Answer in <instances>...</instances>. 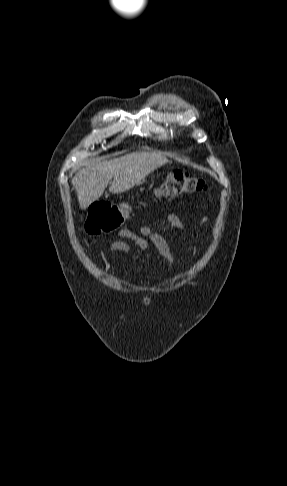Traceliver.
Instances as JSON below:
<instances>
[{
    "instance_id": "obj_1",
    "label": "liver",
    "mask_w": 287,
    "mask_h": 486,
    "mask_svg": "<svg viewBox=\"0 0 287 486\" xmlns=\"http://www.w3.org/2000/svg\"><path fill=\"white\" fill-rule=\"evenodd\" d=\"M168 159L156 153H131L113 160L93 159L78 168L72 179L81 209L98 200L108 183L109 191L125 192L139 184L152 171L163 166Z\"/></svg>"
}]
</instances>
